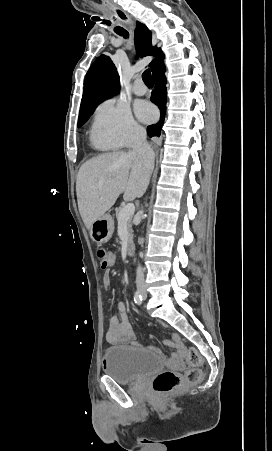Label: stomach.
<instances>
[{
  "instance_id": "0dacf381",
  "label": "stomach",
  "mask_w": 272,
  "mask_h": 451,
  "mask_svg": "<svg viewBox=\"0 0 272 451\" xmlns=\"http://www.w3.org/2000/svg\"><path fill=\"white\" fill-rule=\"evenodd\" d=\"M113 231L114 222L112 216L104 214V216H101V218H98V220L93 222L90 227V237L93 241H96L98 245H101V243L109 241Z\"/></svg>"
}]
</instances>
